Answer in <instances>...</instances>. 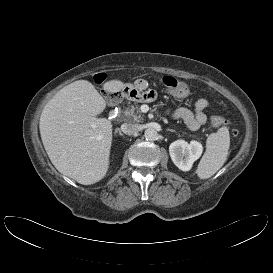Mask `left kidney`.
<instances>
[{"mask_svg":"<svg viewBox=\"0 0 273 273\" xmlns=\"http://www.w3.org/2000/svg\"><path fill=\"white\" fill-rule=\"evenodd\" d=\"M202 151V144L195 140L190 143L177 140L169 146V153L173 163L182 171H189L193 163L201 156Z\"/></svg>","mask_w":273,"mask_h":273,"instance_id":"5707ae66","label":"left kidney"}]
</instances>
